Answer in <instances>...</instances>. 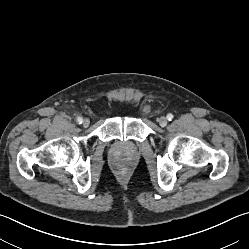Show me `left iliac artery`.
<instances>
[{"instance_id": "44dca946", "label": "left iliac artery", "mask_w": 249, "mask_h": 249, "mask_svg": "<svg viewBox=\"0 0 249 249\" xmlns=\"http://www.w3.org/2000/svg\"><path fill=\"white\" fill-rule=\"evenodd\" d=\"M173 115L171 113L167 114L166 118L167 120L171 121L173 119Z\"/></svg>"}]
</instances>
